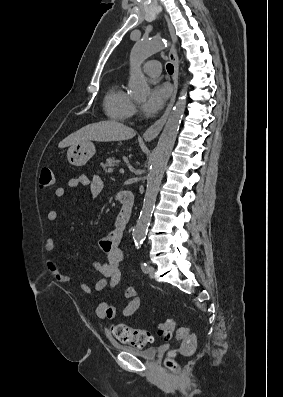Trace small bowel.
Instances as JSON below:
<instances>
[{
    "mask_svg": "<svg viewBox=\"0 0 283 397\" xmlns=\"http://www.w3.org/2000/svg\"><path fill=\"white\" fill-rule=\"evenodd\" d=\"M87 186L90 187L92 196L96 197L103 189V182L97 176L90 180L85 175L72 178L68 181V187L71 189ZM66 192L67 190L65 187H58L55 191V195L58 198H62L66 195ZM57 219V211L51 210L48 212L47 220L49 222H56ZM121 237L122 231L115 229L100 240V248L105 253L107 261L105 263L94 261L93 268L101 274L102 278L98 280L93 287L89 286L85 282H81L80 288L82 291L87 294H91L93 292H107L119 284L121 279L120 266L124 258L123 252L120 248ZM45 250L48 253L46 261L47 269L53 278L59 283L71 282L73 277L63 272L53 255L55 243L52 237H48L46 239ZM122 297L127 301L122 314L124 317L129 318L140 308L141 300L137 295L136 288L131 285L124 288ZM116 314L117 308L113 303L102 301L96 308V315L101 320H113L116 317Z\"/></svg>",
    "mask_w": 283,
    "mask_h": 397,
    "instance_id": "1",
    "label": "small bowel"
}]
</instances>
